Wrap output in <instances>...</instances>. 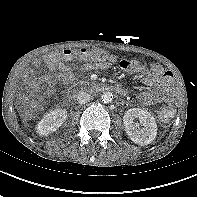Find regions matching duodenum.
Listing matches in <instances>:
<instances>
[{
  "label": "duodenum",
  "instance_id": "obj_1",
  "mask_svg": "<svg viewBox=\"0 0 197 197\" xmlns=\"http://www.w3.org/2000/svg\"><path fill=\"white\" fill-rule=\"evenodd\" d=\"M89 90H91V86L88 87ZM99 91H113L119 95H124L125 91L120 88V87H115V86H104V87H98L97 88ZM78 90V89H77Z\"/></svg>",
  "mask_w": 197,
  "mask_h": 197
}]
</instances>
